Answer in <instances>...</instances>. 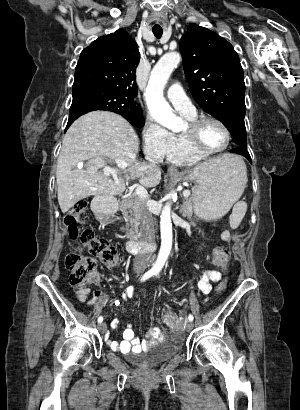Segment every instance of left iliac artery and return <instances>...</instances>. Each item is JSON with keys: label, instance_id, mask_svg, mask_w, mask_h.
Listing matches in <instances>:
<instances>
[{"label": "left iliac artery", "instance_id": "1", "mask_svg": "<svg viewBox=\"0 0 300 410\" xmlns=\"http://www.w3.org/2000/svg\"><path fill=\"white\" fill-rule=\"evenodd\" d=\"M188 319H189V321H193V319H194L193 315L190 314V315L188 316Z\"/></svg>", "mask_w": 300, "mask_h": 410}]
</instances>
